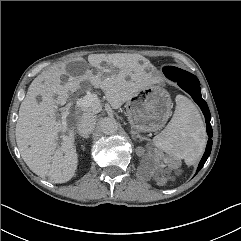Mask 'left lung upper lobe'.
I'll return each mask as SVG.
<instances>
[{"label": "left lung upper lobe", "mask_w": 241, "mask_h": 241, "mask_svg": "<svg viewBox=\"0 0 241 241\" xmlns=\"http://www.w3.org/2000/svg\"><path fill=\"white\" fill-rule=\"evenodd\" d=\"M163 72L166 76H169V75L178 76L179 78H182V79H192V78H194L193 74H191L187 71H184L182 69L172 67V66L165 67L163 69Z\"/></svg>", "instance_id": "left-lung-upper-lobe-1"}]
</instances>
